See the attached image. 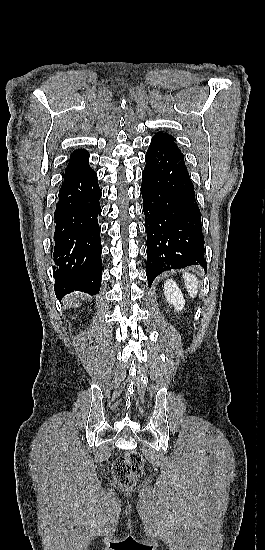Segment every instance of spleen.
Instances as JSON below:
<instances>
[{"label": "spleen", "instance_id": "obj_1", "mask_svg": "<svg viewBox=\"0 0 265 550\" xmlns=\"http://www.w3.org/2000/svg\"><path fill=\"white\" fill-rule=\"evenodd\" d=\"M185 285L189 295L194 298L198 293V280L190 273L183 274Z\"/></svg>", "mask_w": 265, "mask_h": 550}]
</instances>
